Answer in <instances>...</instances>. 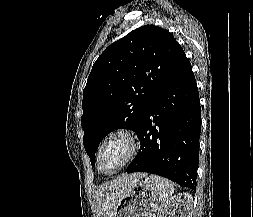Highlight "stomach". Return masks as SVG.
<instances>
[{
  "instance_id": "obj_1",
  "label": "stomach",
  "mask_w": 253,
  "mask_h": 217,
  "mask_svg": "<svg viewBox=\"0 0 253 217\" xmlns=\"http://www.w3.org/2000/svg\"><path fill=\"white\" fill-rule=\"evenodd\" d=\"M157 200V185L143 174L133 188L118 201L114 217H148Z\"/></svg>"
}]
</instances>
